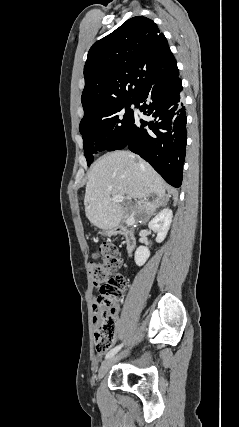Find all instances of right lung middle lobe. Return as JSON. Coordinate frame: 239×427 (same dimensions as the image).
I'll use <instances>...</instances> for the list:
<instances>
[{
    "mask_svg": "<svg viewBox=\"0 0 239 427\" xmlns=\"http://www.w3.org/2000/svg\"><path fill=\"white\" fill-rule=\"evenodd\" d=\"M135 100L106 101L84 114L79 130L88 165L100 151L117 150L126 143L134 121V111L130 107Z\"/></svg>",
    "mask_w": 239,
    "mask_h": 427,
    "instance_id": "1",
    "label": "right lung middle lobe"
}]
</instances>
